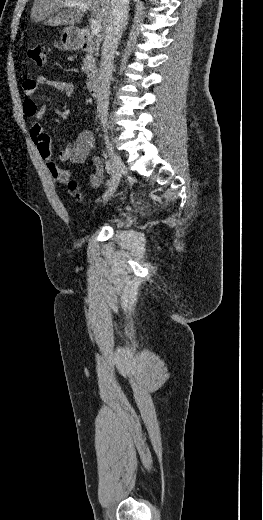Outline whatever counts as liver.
I'll return each instance as SVG.
<instances>
[{
  "label": "liver",
  "instance_id": "obj_1",
  "mask_svg": "<svg viewBox=\"0 0 263 520\" xmlns=\"http://www.w3.org/2000/svg\"><path fill=\"white\" fill-rule=\"evenodd\" d=\"M79 1L85 3L92 10V17L101 23V33L104 36L113 9L112 0H35L31 9V20L49 26H74L82 22L86 10L79 7H70L68 2Z\"/></svg>",
  "mask_w": 263,
  "mask_h": 520
}]
</instances>
